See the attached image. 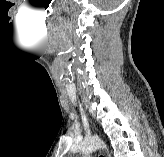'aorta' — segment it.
<instances>
[{"label":"aorta","instance_id":"1","mask_svg":"<svg viewBox=\"0 0 164 157\" xmlns=\"http://www.w3.org/2000/svg\"><path fill=\"white\" fill-rule=\"evenodd\" d=\"M101 148H106V145L101 140L97 139L84 141L80 145V151L83 155H89L93 151Z\"/></svg>","mask_w":164,"mask_h":157}]
</instances>
